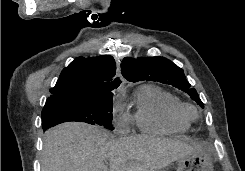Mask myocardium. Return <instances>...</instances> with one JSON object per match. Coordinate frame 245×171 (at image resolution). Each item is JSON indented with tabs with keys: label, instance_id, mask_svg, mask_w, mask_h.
<instances>
[{
	"label": "myocardium",
	"instance_id": "1",
	"mask_svg": "<svg viewBox=\"0 0 245 171\" xmlns=\"http://www.w3.org/2000/svg\"><path fill=\"white\" fill-rule=\"evenodd\" d=\"M180 112L184 118L189 121L195 120L198 116L197 110L193 105L182 103Z\"/></svg>",
	"mask_w": 245,
	"mask_h": 171
}]
</instances>
